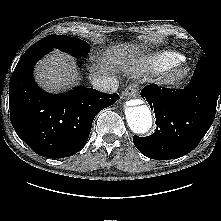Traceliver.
I'll use <instances>...</instances> for the list:
<instances>
[{"instance_id":"6515ba94","label":"liver","mask_w":221,"mask_h":221,"mask_svg":"<svg viewBox=\"0 0 221 221\" xmlns=\"http://www.w3.org/2000/svg\"><path fill=\"white\" fill-rule=\"evenodd\" d=\"M140 47L137 45H117L108 49L101 60L99 70L92 71L91 77L113 74L126 60L135 62ZM38 84L51 93H57L76 85L79 74L68 55L55 51L44 58L35 68Z\"/></svg>"}]
</instances>
